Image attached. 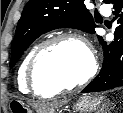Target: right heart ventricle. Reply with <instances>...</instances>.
I'll return each mask as SVG.
<instances>
[{
    "instance_id": "1",
    "label": "right heart ventricle",
    "mask_w": 123,
    "mask_h": 113,
    "mask_svg": "<svg viewBox=\"0 0 123 113\" xmlns=\"http://www.w3.org/2000/svg\"><path fill=\"white\" fill-rule=\"evenodd\" d=\"M38 46H34L28 53L27 55L24 57L18 72H17V84L18 87L21 90H25V89H29L30 91L34 92L27 83V78H26V70H27V66L30 60V57L32 56L34 50L37 48ZM54 94H46V95H41L42 97H51Z\"/></svg>"
}]
</instances>
